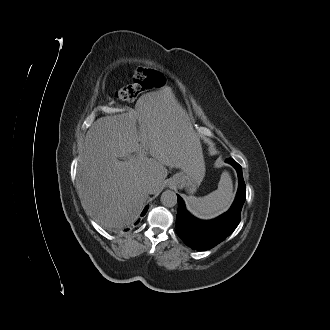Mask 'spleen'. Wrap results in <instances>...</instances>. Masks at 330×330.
Returning a JSON list of instances; mask_svg holds the SVG:
<instances>
[{
	"mask_svg": "<svg viewBox=\"0 0 330 330\" xmlns=\"http://www.w3.org/2000/svg\"><path fill=\"white\" fill-rule=\"evenodd\" d=\"M234 199L231 176L224 171L221 174L217 190L204 197L188 196L185 200L187 210L202 220L213 219L226 212Z\"/></svg>",
	"mask_w": 330,
	"mask_h": 330,
	"instance_id": "1",
	"label": "spleen"
}]
</instances>
